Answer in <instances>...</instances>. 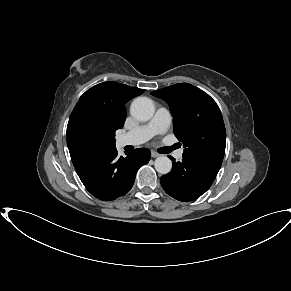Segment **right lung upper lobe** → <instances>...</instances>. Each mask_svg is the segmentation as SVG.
<instances>
[{
	"label": "right lung upper lobe",
	"mask_w": 291,
	"mask_h": 291,
	"mask_svg": "<svg viewBox=\"0 0 291 291\" xmlns=\"http://www.w3.org/2000/svg\"><path fill=\"white\" fill-rule=\"evenodd\" d=\"M143 92V89L114 81L97 84L80 97L69 121L88 118L115 136V131L123 127L126 119L125 104Z\"/></svg>",
	"instance_id": "1"
}]
</instances>
